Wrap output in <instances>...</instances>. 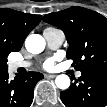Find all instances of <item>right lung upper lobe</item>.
<instances>
[{
	"label": "right lung upper lobe",
	"instance_id": "1",
	"mask_svg": "<svg viewBox=\"0 0 107 107\" xmlns=\"http://www.w3.org/2000/svg\"><path fill=\"white\" fill-rule=\"evenodd\" d=\"M41 15H33L12 9H0V61L10 52H18L27 37L41 21Z\"/></svg>",
	"mask_w": 107,
	"mask_h": 107
}]
</instances>
